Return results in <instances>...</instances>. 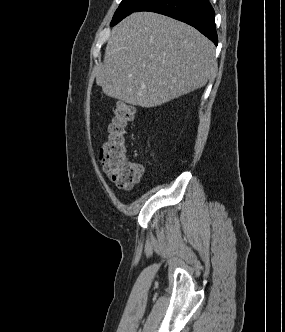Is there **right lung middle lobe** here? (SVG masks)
<instances>
[{
	"mask_svg": "<svg viewBox=\"0 0 285 332\" xmlns=\"http://www.w3.org/2000/svg\"><path fill=\"white\" fill-rule=\"evenodd\" d=\"M146 1L147 0H122L120 6L118 7L113 16L111 26L120 22L123 18L134 12Z\"/></svg>",
	"mask_w": 285,
	"mask_h": 332,
	"instance_id": "1",
	"label": "right lung middle lobe"
}]
</instances>
